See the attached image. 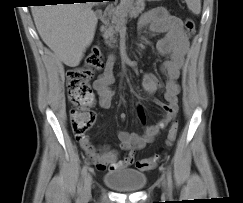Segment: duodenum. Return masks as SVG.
<instances>
[{"instance_id": "1", "label": "duodenum", "mask_w": 243, "mask_h": 203, "mask_svg": "<svg viewBox=\"0 0 243 203\" xmlns=\"http://www.w3.org/2000/svg\"><path fill=\"white\" fill-rule=\"evenodd\" d=\"M109 13L110 10L105 11L104 14L101 16V20L106 21L108 19Z\"/></svg>"}]
</instances>
